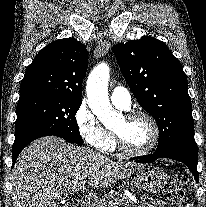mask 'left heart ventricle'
<instances>
[{
	"label": "left heart ventricle",
	"mask_w": 206,
	"mask_h": 207,
	"mask_svg": "<svg viewBox=\"0 0 206 207\" xmlns=\"http://www.w3.org/2000/svg\"><path fill=\"white\" fill-rule=\"evenodd\" d=\"M119 133L124 144L131 150L145 148L152 138V128L144 118L127 121L121 118L114 128Z\"/></svg>",
	"instance_id": "1"
}]
</instances>
